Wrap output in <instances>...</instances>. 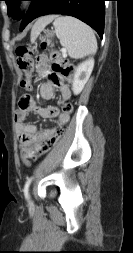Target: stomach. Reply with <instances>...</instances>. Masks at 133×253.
Masks as SVG:
<instances>
[{
    "mask_svg": "<svg viewBox=\"0 0 133 253\" xmlns=\"http://www.w3.org/2000/svg\"><path fill=\"white\" fill-rule=\"evenodd\" d=\"M46 36H47V38H50V37H52V36H53V33H52V32L47 31V32H46ZM44 40H45V39H44Z\"/></svg>",
    "mask_w": 133,
    "mask_h": 253,
    "instance_id": "0dacf381",
    "label": "stomach"
}]
</instances>
